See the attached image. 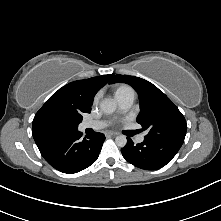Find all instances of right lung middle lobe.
Returning <instances> with one entry per match:
<instances>
[{
	"label": "right lung middle lobe",
	"mask_w": 221,
	"mask_h": 221,
	"mask_svg": "<svg viewBox=\"0 0 221 221\" xmlns=\"http://www.w3.org/2000/svg\"><path fill=\"white\" fill-rule=\"evenodd\" d=\"M81 121H71L62 117H51L47 120L46 127L49 131L64 132L76 130Z\"/></svg>",
	"instance_id": "right-lung-middle-lobe-1"
}]
</instances>
